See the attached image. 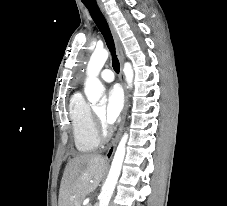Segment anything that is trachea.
Returning a JSON list of instances; mask_svg holds the SVG:
<instances>
[{
  "mask_svg": "<svg viewBox=\"0 0 227 206\" xmlns=\"http://www.w3.org/2000/svg\"><path fill=\"white\" fill-rule=\"evenodd\" d=\"M83 3L89 10L91 17L93 18L94 22L98 26L99 30L101 31L106 41L107 47L109 48V51L111 52L112 55V64L114 71L116 73H119L120 64L116 57L114 40L105 17L103 16L101 10L99 9L96 0H88V2Z\"/></svg>",
  "mask_w": 227,
  "mask_h": 206,
  "instance_id": "3493384b",
  "label": "trachea"
}]
</instances>
